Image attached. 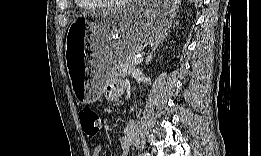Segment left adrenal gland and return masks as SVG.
Wrapping results in <instances>:
<instances>
[{
    "mask_svg": "<svg viewBox=\"0 0 261 156\" xmlns=\"http://www.w3.org/2000/svg\"><path fill=\"white\" fill-rule=\"evenodd\" d=\"M164 37H162L160 40L156 41L155 46L153 47L152 51L148 53L145 64L149 65V63L152 61L153 54L158 49L159 45L163 42Z\"/></svg>",
    "mask_w": 261,
    "mask_h": 156,
    "instance_id": "left-adrenal-gland-1",
    "label": "left adrenal gland"
}]
</instances>
